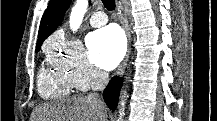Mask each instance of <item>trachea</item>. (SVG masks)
<instances>
[{"instance_id":"obj_1","label":"trachea","mask_w":217,"mask_h":121,"mask_svg":"<svg viewBox=\"0 0 217 121\" xmlns=\"http://www.w3.org/2000/svg\"><path fill=\"white\" fill-rule=\"evenodd\" d=\"M102 3L105 6V8L109 11L115 9V0H102Z\"/></svg>"}]
</instances>
